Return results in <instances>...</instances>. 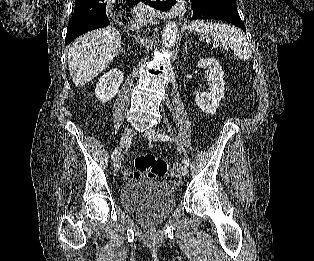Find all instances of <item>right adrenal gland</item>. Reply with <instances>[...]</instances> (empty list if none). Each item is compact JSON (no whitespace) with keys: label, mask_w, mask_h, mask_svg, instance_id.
Masks as SVG:
<instances>
[{"label":"right adrenal gland","mask_w":314,"mask_h":261,"mask_svg":"<svg viewBox=\"0 0 314 261\" xmlns=\"http://www.w3.org/2000/svg\"><path fill=\"white\" fill-rule=\"evenodd\" d=\"M120 51H121L122 53H125V50H123V49H121Z\"/></svg>","instance_id":"1"}]
</instances>
